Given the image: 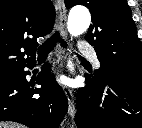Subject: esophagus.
<instances>
[{
	"label": "esophagus",
	"instance_id": "1",
	"mask_svg": "<svg viewBox=\"0 0 142 128\" xmlns=\"http://www.w3.org/2000/svg\"><path fill=\"white\" fill-rule=\"evenodd\" d=\"M56 6L59 12V20H60V29H61V35L65 38L66 37V8L64 4V0H56ZM63 49L60 45H57L55 50V55L58 63V74L61 72V61L63 57ZM64 92L66 94L67 100H68V114L69 116L73 117L75 115V104H74V95L72 90L69 87L64 86L63 87Z\"/></svg>",
	"mask_w": 142,
	"mask_h": 128
}]
</instances>
